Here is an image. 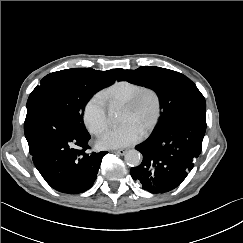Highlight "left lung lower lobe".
<instances>
[{"instance_id":"obj_1","label":"left lung lower lobe","mask_w":243,"mask_h":243,"mask_svg":"<svg viewBox=\"0 0 243 243\" xmlns=\"http://www.w3.org/2000/svg\"><path fill=\"white\" fill-rule=\"evenodd\" d=\"M206 131V103L191 105L174 115L166 126L135 148L142 163L130 174L151 193L178 187L200 155Z\"/></svg>"}]
</instances>
